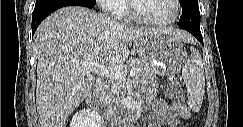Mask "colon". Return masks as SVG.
Segmentation results:
<instances>
[{
    "mask_svg": "<svg viewBox=\"0 0 243 127\" xmlns=\"http://www.w3.org/2000/svg\"><path fill=\"white\" fill-rule=\"evenodd\" d=\"M167 95L173 100H184V92L180 82L177 79H171L167 87Z\"/></svg>",
    "mask_w": 243,
    "mask_h": 127,
    "instance_id": "obj_1",
    "label": "colon"
}]
</instances>
